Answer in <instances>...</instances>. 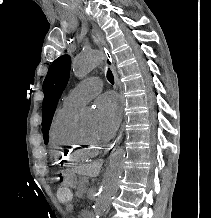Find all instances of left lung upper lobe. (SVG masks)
Returning a JSON list of instances; mask_svg holds the SVG:
<instances>
[{"instance_id":"1","label":"left lung upper lobe","mask_w":211,"mask_h":218,"mask_svg":"<svg viewBox=\"0 0 211 218\" xmlns=\"http://www.w3.org/2000/svg\"><path fill=\"white\" fill-rule=\"evenodd\" d=\"M70 64L71 61L68 55L57 58L51 64L43 83L45 97L42 105V132L45 144L48 143V132L58 100L68 82Z\"/></svg>"}]
</instances>
